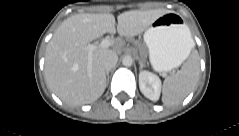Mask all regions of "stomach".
Wrapping results in <instances>:
<instances>
[{
    "mask_svg": "<svg viewBox=\"0 0 239 136\" xmlns=\"http://www.w3.org/2000/svg\"><path fill=\"white\" fill-rule=\"evenodd\" d=\"M189 32L182 17L175 12L163 14L146 29L144 42L156 71H170L187 58L192 48Z\"/></svg>",
    "mask_w": 239,
    "mask_h": 136,
    "instance_id": "obj_1",
    "label": "stomach"
}]
</instances>
